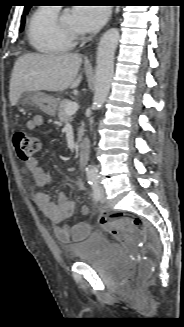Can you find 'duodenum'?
Returning <instances> with one entry per match:
<instances>
[{"instance_id":"obj_1","label":"duodenum","mask_w":184,"mask_h":327,"mask_svg":"<svg viewBox=\"0 0 184 327\" xmlns=\"http://www.w3.org/2000/svg\"><path fill=\"white\" fill-rule=\"evenodd\" d=\"M89 143L87 140H82L78 148V157L81 167H85L87 162V153H88Z\"/></svg>"}]
</instances>
